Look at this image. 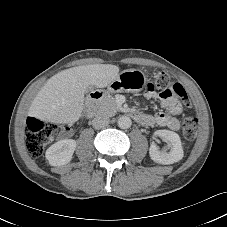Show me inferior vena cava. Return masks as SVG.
I'll return each mask as SVG.
<instances>
[{
  "mask_svg": "<svg viewBox=\"0 0 227 227\" xmlns=\"http://www.w3.org/2000/svg\"><path fill=\"white\" fill-rule=\"evenodd\" d=\"M109 124V119L106 116L99 115L92 120V126L95 129H101Z\"/></svg>",
  "mask_w": 227,
  "mask_h": 227,
  "instance_id": "1",
  "label": "inferior vena cava"
}]
</instances>
